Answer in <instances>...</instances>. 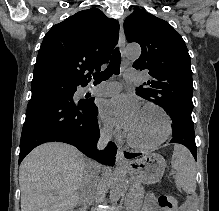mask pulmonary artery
<instances>
[{"instance_id": "e3ab8cb5", "label": "pulmonary artery", "mask_w": 219, "mask_h": 211, "mask_svg": "<svg viewBox=\"0 0 219 211\" xmlns=\"http://www.w3.org/2000/svg\"><path fill=\"white\" fill-rule=\"evenodd\" d=\"M138 69H125L124 79L126 81L132 82L134 80H139V75H129L138 74ZM121 90V84L116 81H105L92 87H87L82 90V95L90 93L95 96H111L118 93Z\"/></svg>"}]
</instances>
